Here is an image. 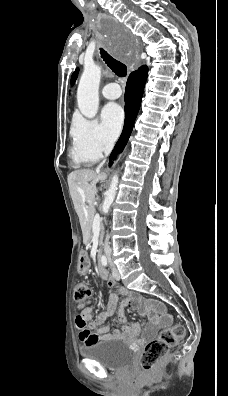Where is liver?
<instances>
[{
	"label": "liver",
	"mask_w": 228,
	"mask_h": 396,
	"mask_svg": "<svg viewBox=\"0 0 228 396\" xmlns=\"http://www.w3.org/2000/svg\"><path fill=\"white\" fill-rule=\"evenodd\" d=\"M106 176L105 173L91 169L75 170L68 175L70 195L79 217L84 242L88 238L90 220L94 214V201L97 194L96 184L100 180H104Z\"/></svg>",
	"instance_id": "liver-1"
}]
</instances>
